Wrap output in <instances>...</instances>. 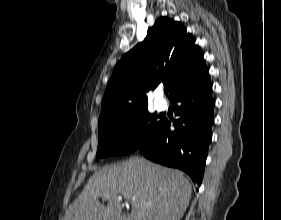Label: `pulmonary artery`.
<instances>
[{"label": "pulmonary artery", "mask_w": 281, "mask_h": 220, "mask_svg": "<svg viewBox=\"0 0 281 220\" xmlns=\"http://www.w3.org/2000/svg\"><path fill=\"white\" fill-rule=\"evenodd\" d=\"M155 105L159 110H164L167 107V103L163 99L161 91L156 93Z\"/></svg>", "instance_id": "obj_1"}]
</instances>
